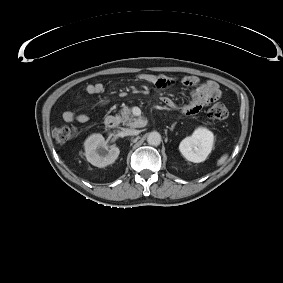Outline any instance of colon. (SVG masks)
Wrapping results in <instances>:
<instances>
[{
    "instance_id": "5ec220e1",
    "label": "colon",
    "mask_w": 283,
    "mask_h": 283,
    "mask_svg": "<svg viewBox=\"0 0 283 283\" xmlns=\"http://www.w3.org/2000/svg\"><path fill=\"white\" fill-rule=\"evenodd\" d=\"M208 115L213 120H224L228 116L227 108L220 103L210 107ZM76 129L69 125H61L53 129V137L58 143H66L76 136Z\"/></svg>"
}]
</instances>
